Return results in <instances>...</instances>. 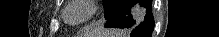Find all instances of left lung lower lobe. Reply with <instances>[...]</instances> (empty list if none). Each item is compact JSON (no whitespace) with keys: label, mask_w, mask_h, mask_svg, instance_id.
<instances>
[{"label":"left lung lower lobe","mask_w":219,"mask_h":37,"mask_svg":"<svg viewBox=\"0 0 219 37\" xmlns=\"http://www.w3.org/2000/svg\"><path fill=\"white\" fill-rule=\"evenodd\" d=\"M105 27L130 28L131 37H151L152 0H119Z\"/></svg>","instance_id":"1"}]
</instances>
